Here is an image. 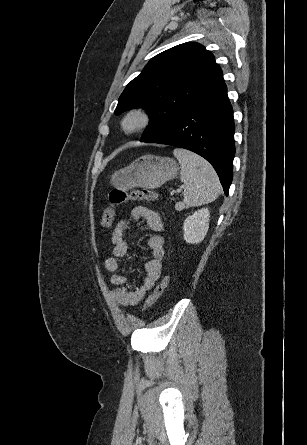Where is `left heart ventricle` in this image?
<instances>
[{
  "label": "left heart ventricle",
  "mask_w": 307,
  "mask_h": 445,
  "mask_svg": "<svg viewBox=\"0 0 307 445\" xmlns=\"http://www.w3.org/2000/svg\"><path fill=\"white\" fill-rule=\"evenodd\" d=\"M142 123V118L138 114H133L129 116L124 123V130L127 132L134 131Z\"/></svg>",
  "instance_id": "b2bd125f"
}]
</instances>
